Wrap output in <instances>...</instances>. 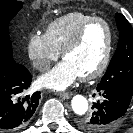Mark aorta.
Returning <instances> with one entry per match:
<instances>
[{
  "instance_id": "762f6f07",
  "label": "aorta",
  "mask_w": 133,
  "mask_h": 133,
  "mask_svg": "<svg viewBox=\"0 0 133 133\" xmlns=\"http://www.w3.org/2000/svg\"><path fill=\"white\" fill-rule=\"evenodd\" d=\"M72 110L75 114L82 116L88 111V101L82 95H76L71 101Z\"/></svg>"
}]
</instances>
